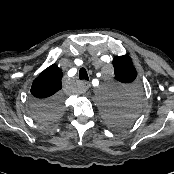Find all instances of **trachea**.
<instances>
[{
  "instance_id": "trachea-1",
  "label": "trachea",
  "mask_w": 174,
  "mask_h": 174,
  "mask_svg": "<svg viewBox=\"0 0 174 174\" xmlns=\"http://www.w3.org/2000/svg\"><path fill=\"white\" fill-rule=\"evenodd\" d=\"M79 79L89 81V77L85 68H81L79 71Z\"/></svg>"
}]
</instances>
